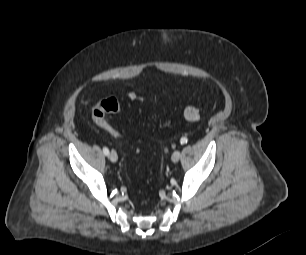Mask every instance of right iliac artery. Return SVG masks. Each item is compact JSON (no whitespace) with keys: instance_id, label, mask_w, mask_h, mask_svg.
<instances>
[{"instance_id":"right-iliac-artery-1","label":"right iliac artery","mask_w":306,"mask_h":255,"mask_svg":"<svg viewBox=\"0 0 306 255\" xmlns=\"http://www.w3.org/2000/svg\"><path fill=\"white\" fill-rule=\"evenodd\" d=\"M103 153H104L105 155H109V150H108L107 147H104V148H103Z\"/></svg>"}]
</instances>
